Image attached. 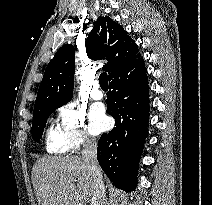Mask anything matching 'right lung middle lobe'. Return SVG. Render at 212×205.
I'll use <instances>...</instances> for the list:
<instances>
[{
    "instance_id": "obj_1",
    "label": "right lung middle lobe",
    "mask_w": 212,
    "mask_h": 205,
    "mask_svg": "<svg viewBox=\"0 0 212 205\" xmlns=\"http://www.w3.org/2000/svg\"><path fill=\"white\" fill-rule=\"evenodd\" d=\"M61 105H45L34 109L31 133L36 142H39L48 117Z\"/></svg>"
}]
</instances>
